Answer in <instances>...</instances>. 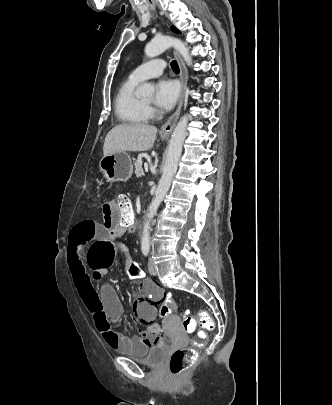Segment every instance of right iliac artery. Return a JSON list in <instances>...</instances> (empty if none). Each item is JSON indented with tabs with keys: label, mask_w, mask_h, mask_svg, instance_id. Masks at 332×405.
Listing matches in <instances>:
<instances>
[{
	"label": "right iliac artery",
	"mask_w": 332,
	"mask_h": 405,
	"mask_svg": "<svg viewBox=\"0 0 332 405\" xmlns=\"http://www.w3.org/2000/svg\"><path fill=\"white\" fill-rule=\"evenodd\" d=\"M142 252H143V254H144L145 256H148V254H149V248H148V247H144V248L142 249Z\"/></svg>",
	"instance_id": "right-iliac-artery-1"
}]
</instances>
